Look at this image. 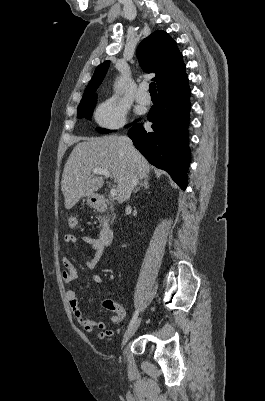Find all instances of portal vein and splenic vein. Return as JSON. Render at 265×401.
<instances>
[{
	"label": "portal vein and splenic vein",
	"mask_w": 265,
	"mask_h": 401,
	"mask_svg": "<svg viewBox=\"0 0 265 401\" xmlns=\"http://www.w3.org/2000/svg\"><path fill=\"white\" fill-rule=\"evenodd\" d=\"M92 172H94V174H104L105 178H108V176H111L109 170H106V168H94V170H92ZM110 194H111V196H116V194H117L116 188H111Z\"/></svg>",
	"instance_id": "obj_1"
}]
</instances>
